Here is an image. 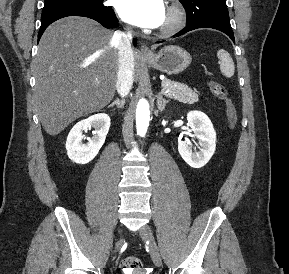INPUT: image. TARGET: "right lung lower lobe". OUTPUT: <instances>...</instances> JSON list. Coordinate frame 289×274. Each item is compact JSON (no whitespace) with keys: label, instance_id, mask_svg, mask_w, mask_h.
<instances>
[{"label":"right lung lower lobe","instance_id":"98d812e1","mask_svg":"<svg viewBox=\"0 0 289 274\" xmlns=\"http://www.w3.org/2000/svg\"><path fill=\"white\" fill-rule=\"evenodd\" d=\"M67 16H82L91 18L101 23L106 28H114L118 25V20L114 11L109 7L103 11L91 10L82 7H63L42 12L41 27L38 33V40L42 36L45 29L54 21ZM137 39H133V44L136 46Z\"/></svg>","mask_w":289,"mask_h":274}]
</instances>
